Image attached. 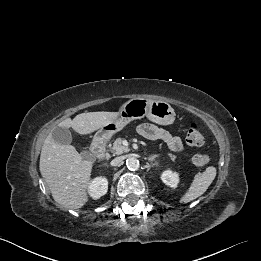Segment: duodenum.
Returning <instances> with one entry per match:
<instances>
[{"label": "duodenum", "mask_w": 261, "mask_h": 261, "mask_svg": "<svg viewBox=\"0 0 261 261\" xmlns=\"http://www.w3.org/2000/svg\"><path fill=\"white\" fill-rule=\"evenodd\" d=\"M106 151V140L105 139H97L93 142L91 146L92 154L97 158H102L105 155Z\"/></svg>", "instance_id": "duodenum-1"}]
</instances>
